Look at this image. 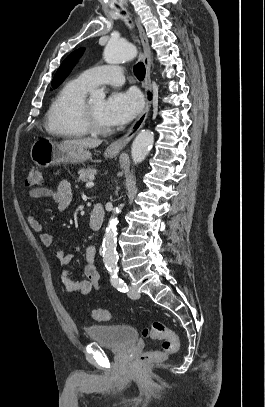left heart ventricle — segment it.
<instances>
[{"mask_svg":"<svg viewBox=\"0 0 265 407\" xmlns=\"http://www.w3.org/2000/svg\"><path fill=\"white\" fill-rule=\"evenodd\" d=\"M90 110L92 111L97 123L104 128H109L110 125L104 117V105L103 100H94L88 103Z\"/></svg>","mask_w":265,"mask_h":407,"instance_id":"1","label":"left heart ventricle"}]
</instances>
